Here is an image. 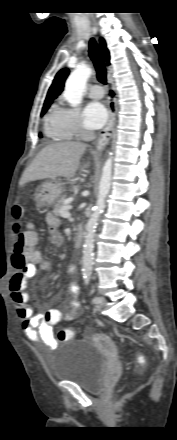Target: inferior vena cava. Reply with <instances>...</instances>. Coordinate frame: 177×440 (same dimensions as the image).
I'll use <instances>...</instances> for the list:
<instances>
[{
    "instance_id": "1",
    "label": "inferior vena cava",
    "mask_w": 177,
    "mask_h": 440,
    "mask_svg": "<svg viewBox=\"0 0 177 440\" xmlns=\"http://www.w3.org/2000/svg\"><path fill=\"white\" fill-rule=\"evenodd\" d=\"M82 136L85 141H90L95 139V134L91 131H85Z\"/></svg>"
}]
</instances>
